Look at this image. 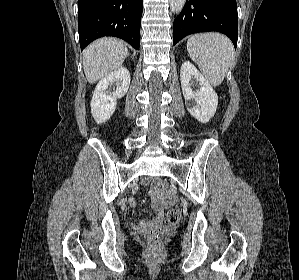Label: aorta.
<instances>
[{
    "mask_svg": "<svg viewBox=\"0 0 299 280\" xmlns=\"http://www.w3.org/2000/svg\"><path fill=\"white\" fill-rule=\"evenodd\" d=\"M186 0H170V9L173 13H180Z\"/></svg>",
    "mask_w": 299,
    "mask_h": 280,
    "instance_id": "obj_1",
    "label": "aorta"
}]
</instances>
